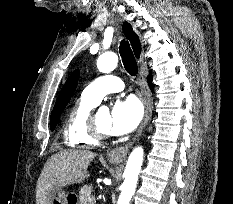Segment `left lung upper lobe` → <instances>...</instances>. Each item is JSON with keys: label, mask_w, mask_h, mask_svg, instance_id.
Segmentation results:
<instances>
[{"label": "left lung upper lobe", "mask_w": 233, "mask_h": 204, "mask_svg": "<svg viewBox=\"0 0 233 204\" xmlns=\"http://www.w3.org/2000/svg\"><path fill=\"white\" fill-rule=\"evenodd\" d=\"M78 79H79V71L76 70L67 79L60 95L58 96L54 109L51 113L50 129L52 131L55 129L61 113L63 112L71 96L73 95L77 86Z\"/></svg>", "instance_id": "1"}]
</instances>
